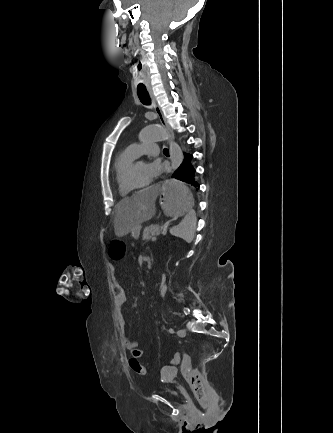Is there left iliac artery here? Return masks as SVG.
Wrapping results in <instances>:
<instances>
[{
	"label": "left iliac artery",
	"instance_id": "1",
	"mask_svg": "<svg viewBox=\"0 0 333 433\" xmlns=\"http://www.w3.org/2000/svg\"><path fill=\"white\" fill-rule=\"evenodd\" d=\"M169 333H171V334H173L174 333V330L172 329V328H169Z\"/></svg>",
	"mask_w": 333,
	"mask_h": 433
}]
</instances>
